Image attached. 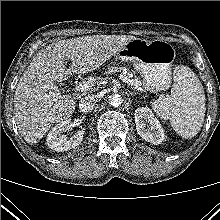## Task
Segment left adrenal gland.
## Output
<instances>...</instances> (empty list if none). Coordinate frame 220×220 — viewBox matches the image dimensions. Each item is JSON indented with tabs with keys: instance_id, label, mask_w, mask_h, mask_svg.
Instances as JSON below:
<instances>
[{
	"instance_id": "1",
	"label": "left adrenal gland",
	"mask_w": 220,
	"mask_h": 220,
	"mask_svg": "<svg viewBox=\"0 0 220 220\" xmlns=\"http://www.w3.org/2000/svg\"><path fill=\"white\" fill-rule=\"evenodd\" d=\"M129 94H130V95H136L137 92H135V91H129Z\"/></svg>"
}]
</instances>
